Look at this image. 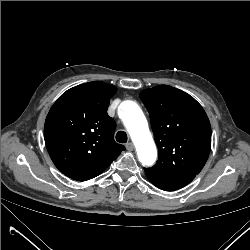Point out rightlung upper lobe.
Instances as JSON below:
<instances>
[{"label":"right lung upper lobe","instance_id":"obj_1","mask_svg":"<svg viewBox=\"0 0 250 250\" xmlns=\"http://www.w3.org/2000/svg\"><path fill=\"white\" fill-rule=\"evenodd\" d=\"M117 88L93 81L67 90L50 109L44 126L48 153L67 177L80 179L102 173L123 145L114 141L115 121L108 116Z\"/></svg>","mask_w":250,"mask_h":250}]
</instances>
